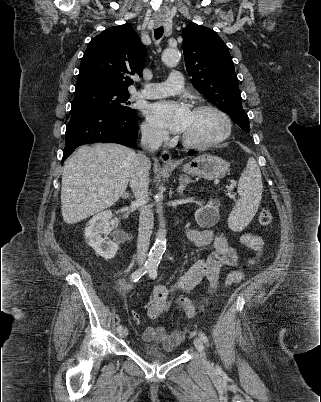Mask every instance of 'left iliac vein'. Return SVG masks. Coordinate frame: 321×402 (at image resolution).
Wrapping results in <instances>:
<instances>
[{
  "label": "left iliac vein",
  "instance_id": "1",
  "mask_svg": "<svg viewBox=\"0 0 321 402\" xmlns=\"http://www.w3.org/2000/svg\"><path fill=\"white\" fill-rule=\"evenodd\" d=\"M194 346L196 347V349H197L198 352L200 353L204 365H206L207 367H209V366H210V363H209V361H208L207 358H206V354H205V351H204V344H203L202 340H201L200 338L196 337V338L194 339Z\"/></svg>",
  "mask_w": 321,
  "mask_h": 402
}]
</instances>
